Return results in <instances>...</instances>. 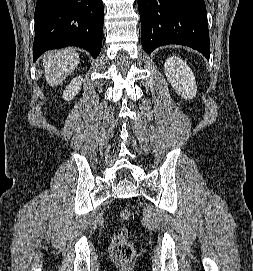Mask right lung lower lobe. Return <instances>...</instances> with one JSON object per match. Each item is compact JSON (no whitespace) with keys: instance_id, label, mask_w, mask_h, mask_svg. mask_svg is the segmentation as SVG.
<instances>
[{"instance_id":"right-lung-lower-lobe-1","label":"right lung lower lobe","mask_w":253,"mask_h":271,"mask_svg":"<svg viewBox=\"0 0 253 271\" xmlns=\"http://www.w3.org/2000/svg\"><path fill=\"white\" fill-rule=\"evenodd\" d=\"M104 6L102 0H37L33 60L45 51L67 46L101 51Z\"/></svg>"}]
</instances>
